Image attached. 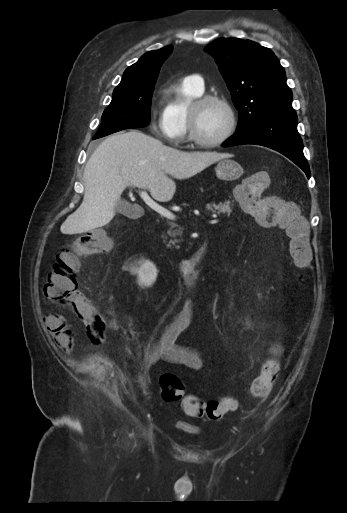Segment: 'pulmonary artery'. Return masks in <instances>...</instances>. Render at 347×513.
Here are the masks:
<instances>
[{
    "mask_svg": "<svg viewBox=\"0 0 347 513\" xmlns=\"http://www.w3.org/2000/svg\"><path fill=\"white\" fill-rule=\"evenodd\" d=\"M185 79L189 81L193 86H195L198 90H204V79L201 75L193 74L187 76Z\"/></svg>",
    "mask_w": 347,
    "mask_h": 513,
    "instance_id": "pulmonary-artery-1",
    "label": "pulmonary artery"
}]
</instances>
